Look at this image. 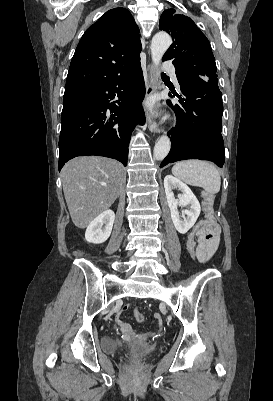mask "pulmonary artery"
I'll return each instance as SVG.
<instances>
[{"instance_id": "pulmonary-artery-1", "label": "pulmonary artery", "mask_w": 273, "mask_h": 401, "mask_svg": "<svg viewBox=\"0 0 273 401\" xmlns=\"http://www.w3.org/2000/svg\"><path fill=\"white\" fill-rule=\"evenodd\" d=\"M163 63L165 65L164 66L165 71H167V72H174L175 71L176 66H175L174 63H172L171 58H169V57L164 58ZM171 79L175 84H177L176 76H171Z\"/></svg>"}]
</instances>
